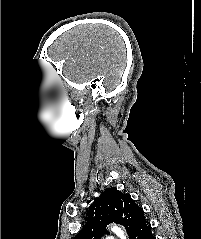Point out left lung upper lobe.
Returning <instances> with one entry per match:
<instances>
[{"label":"left lung upper lobe","mask_w":201,"mask_h":239,"mask_svg":"<svg viewBox=\"0 0 201 239\" xmlns=\"http://www.w3.org/2000/svg\"><path fill=\"white\" fill-rule=\"evenodd\" d=\"M113 222L123 225L129 236L146 222L143 208L129 194L114 187L106 189L90 205L87 223L74 239H100L108 233L106 226Z\"/></svg>","instance_id":"obj_1"}]
</instances>
